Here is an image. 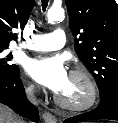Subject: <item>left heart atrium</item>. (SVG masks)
Listing matches in <instances>:
<instances>
[{"label":"left heart atrium","instance_id":"left-heart-atrium-1","mask_svg":"<svg viewBox=\"0 0 118 123\" xmlns=\"http://www.w3.org/2000/svg\"><path fill=\"white\" fill-rule=\"evenodd\" d=\"M26 72L38 84L57 94L65 88L70 77L63 58L59 56L30 59Z\"/></svg>","mask_w":118,"mask_h":123}]
</instances>
